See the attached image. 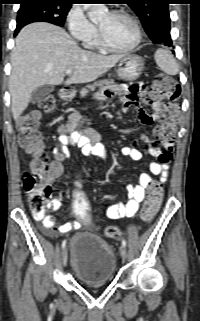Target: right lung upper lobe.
I'll use <instances>...</instances> for the list:
<instances>
[{
	"mask_svg": "<svg viewBox=\"0 0 200 321\" xmlns=\"http://www.w3.org/2000/svg\"><path fill=\"white\" fill-rule=\"evenodd\" d=\"M20 1H27V0H20ZM57 1H61V2H64L66 4H72L75 0H57Z\"/></svg>",
	"mask_w": 200,
	"mask_h": 321,
	"instance_id": "right-lung-upper-lobe-1",
	"label": "right lung upper lobe"
}]
</instances>
